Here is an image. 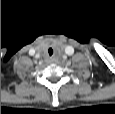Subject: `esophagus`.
I'll list each match as a JSON object with an SVG mask.
<instances>
[{
    "mask_svg": "<svg viewBox=\"0 0 115 114\" xmlns=\"http://www.w3.org/2000/svg\"><path fill=\"white\" fill-rule=\"evenodd\" d=\"M53 61H54V59H53V58H50V59H49V62H53Z\"/></svg>",
    "mask_w": 115,
    "mask_h": 114,
    "instance_id": "34e87169",
    "label": "esophagus"
}]
</instances>
